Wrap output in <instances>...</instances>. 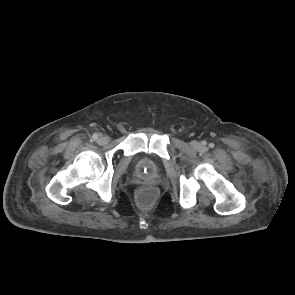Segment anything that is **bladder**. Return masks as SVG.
<instances>
[{"mask_svg": "<svg viewBox=\"0 0 295 295\" xmlns=\"http://www.w3.org/2000/svg\"><path fill=\"white\" fill-rule=\"evenodd\" d=\"M133 172L138 178L144 181H151L157 176L158 167L153 161L147 158H140L134 163Z\"/></svg>", "mask_w": 295, "mask_h": 295, "instance_id": "31cf9c89", "label": "bladder"}]
</instances>
